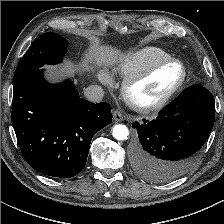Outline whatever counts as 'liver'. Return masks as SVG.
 Here are the masks:
<instances>
[{
	"mask_svg": "<svg viewBox=\"0 0 224 224\" xmlns=\"http://www.w3.org/2000/svg\"><path fill=\"white\" fill-rule=\"evenodd\" d=\"M120 55V51L111 46L95 44L91 47L89 53L86 55V58L84 59V62L82 63L81 67L84 70H88V62H92L98 67L106 68L116 63ZM46 68L54 72H56L57 69L66 72H73L75 70V66L69 62H66L63 66H47Z\"/></svg>",
	"mask_w": 224,
	"mask_h": 224,
	"instance_id": "liver-1",
	"label": "liver"
}]
</instances>
